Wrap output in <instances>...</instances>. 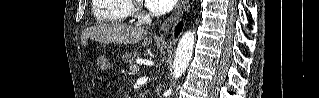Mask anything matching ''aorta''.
<instances>
[{"label":"aorta","mask_w":319,"mask_h":98,"mask_svg":"<svg viewBox=\"0 0 319 98\" xmlns=\"http://www.w3.org/2000/svg\"><path fill=\"white\" fill-rule=\"evenodd\" d=\"M195 44V33L192 31H187L183 34L181 39L179 40L175 59L173 64V74L172 79L177 80L182 76L185 72L186 68L188 67ZM172 94V88H169L166 92V95L170 97Z\"/></svg>","instance_id":"762f6f07"}]
</instances>
